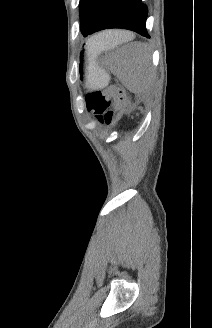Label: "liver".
<instances>
[{"label":"liver","mask_w":212,"mask_h":328,"mask_svg":"<svg viewBox=\"0 0 212 328\" xmlns=\"http://www.w3.org/2000/svg\"><path fill=\"white\" fill-rule=\"evenodd\" d=\"M112 39L121 43L133 39V34L124 31H111Z\"/></svg>","instance_id":"liver-1"}]
</instances>
